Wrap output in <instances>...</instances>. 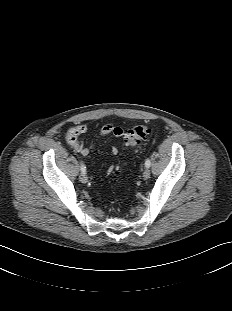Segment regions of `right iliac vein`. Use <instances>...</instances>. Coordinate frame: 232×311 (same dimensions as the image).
I'll return each instance as SVG.
<instances>
[{"instance_id":"obj_1","label":"right iliac vein","mask_w":232,"mask_h":311,"mask_svg":"<svg viewBox=\"0 0 232 311\" xmlns=\"http://www.w3.org/2000/svg\"><path fill=\"white\" fill-rule=\"evenodd\" d=\"M79 179H80V181L82 183H87L88 182V177L85 174H83V173H81Z\"/></svg>"}]
</instances>
